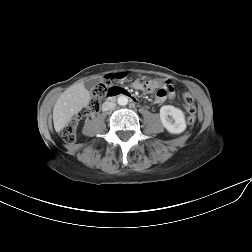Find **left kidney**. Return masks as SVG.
I'll use <instances>...</instances> for the list:
<instances>
[{"label":"left kidney","mask_w":252,"mask_h":252,"mask_svg":"<svg viewBox=\"0 0 252 252\" xmlns=\"http://www.w3.org/2000/svg\"><path fill=\"white\" fill-rule=\"evenodd\" d=\"M160 119L166 130L172 134L182 133L186 129L183 111L174 106H162L160 108Z\"/></svg>","instance_id":"obj_1"}]
</instances>
